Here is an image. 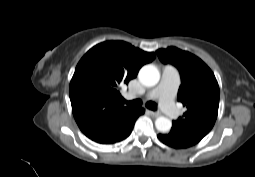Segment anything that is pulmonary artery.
I'll return each instance as SVG.
<instances>
[{
  "label": "pulmonary artery",
  "mask_w": 255,
  "mask_h": 177,
  "mask_svg": "<svg viewBox=\"0 0 255 177\" xmlns=\"http://www.w3.org/2000/svg\"><path fill=\"white\" fill-rule=\"evenodd\" d=\"M179 85L176 71L170 66H164L162 69V77L156 88L146 93V99H158L161 109L170 118L176 119L179 112L174 104V96Z\"/></svg>",
  "instance_id": "obj_1"
}]
</instances>
